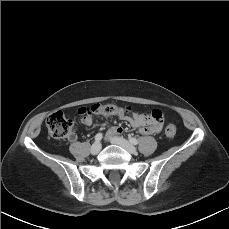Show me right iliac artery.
Returning <instances> with one entry per match:
<instances>
[{
    "label": "right iliac artery",
    "mask_w": 229,
    "mask_h": 229,
    "mask_svg": "<svg viewBox=\"0 0 229 229\" xmlns=\"http://www.w3.org/2000/svg\"><path fill=\"white\" fill-rule=\"evenodd\" d=\"M102 138H103L102 133H97L96 136H95L96 142H100Z\"/></svg>",
    "instance_id": "obj_1"
}]
</instances>
